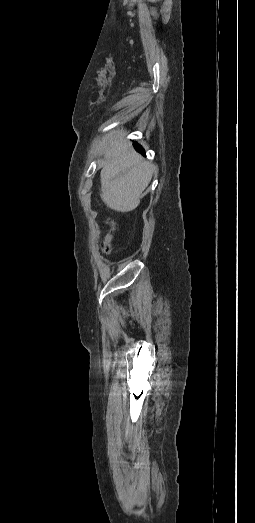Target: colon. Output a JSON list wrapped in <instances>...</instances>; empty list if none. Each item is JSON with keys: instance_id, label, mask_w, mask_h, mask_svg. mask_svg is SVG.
Wrapping results in <instances>:
<instances>
[{"instance_id": "colon-1", "label": "colon", "mask_w": 255, "mask_h": 523, "mask_svg": "<svg viewBox=\"0 0 255 523\" xmlns=\"http://www.w3.org/2000/svg\"><path fill=\"white\" fill-rule=\"evenodd\" d=\"M115 223L113 221H110L109 222V232L107 233V235L105 236L103 242H102V250L106 253H108L110 251V242H111V238H112V232L113 230H115Z\"/></svg>"}]
</instances>
